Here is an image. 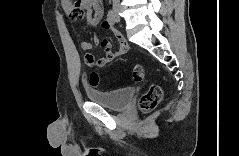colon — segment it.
Here are the masks:
<instances>
[{"mask_svg": "<svg viewBox=\"0 0 239 156\" xmlns=\"http://www.w3.org/2000/svg\"><path fill=\"white\" fill-rule=\"evenodd\" d=\"M144 68L141 65H136L132 69V79L135 82L144 80ZM89 82L92 86H98L100 83L99 76L92 72L89 76ZM162 90L157 85H152L139 99L138 105L141 111L150 112L154 110L162 100Z\"/></svg>", "mask_w": 239, "mask_h": 156, "instance_id": "5ec220e1", "label": "colon"}]
</instances>
